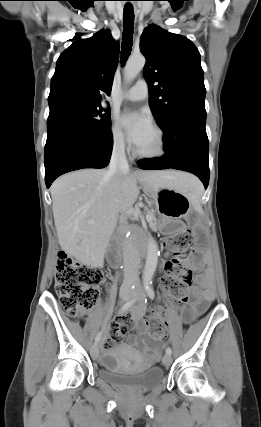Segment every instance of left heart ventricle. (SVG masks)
<instances>
[{
  "instance_id": "obj_1",
  "label": "left heart ventricle",
  "mask_w": 261,
  "mask_h": 427,
  "mask_svg": "<svg viewBox=\"0 0 261 427\" xmlns=\"http://www.w3.org/2000/svg\"><path fill=\"white\" fill-rule=\"evenodd\" d=\"M157 145V139L156 134L152 130L147 139L144 141V143L139 146L137 149H139L142 152H152L156 149Z\"/></svg>"
}]
</instances>
